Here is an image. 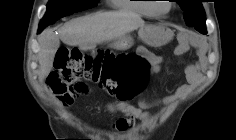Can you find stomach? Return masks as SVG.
<instances>
[{
    "mask_svg": "<svg viewBox=\"0 0 236 140\" xmlns=\"http://www.w3.org/2000/svg\"><path fill=\"white\" fill-rule=\"evenodd\" d=\"M139 36L149 45L162 46L173 37V31L163 24L148 25L140 29ZM133 43L130 35L115 39L114 45L118 48H129Z\"/></svg>",
    "mask_w": 236,
    "mask_h": 140,
    "instance_id": "0dacf381",
    "label": "stomach"
}]
</instances>
